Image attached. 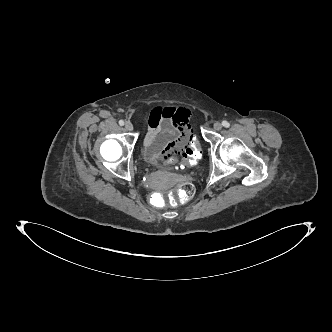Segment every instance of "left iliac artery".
<instances>
[{
    "mask_svg": "<svg viewBox=\"0 0 332 332\" xmlns=\"http://www.w3.org/2000/svg\"><path fill=\"white\" fill-rule=\"evenodd\" d=\"M222 125H223L224 127H229L230 124H229L227 121H223V122H222Z\"/></svg>",
    "mask_w": 332,
    "mask_h": 332,
    "instance_id": "left-iliac-artery-1",
    "label": "left iliac artery"
}]
</instances>
